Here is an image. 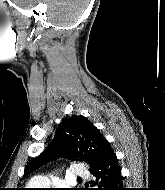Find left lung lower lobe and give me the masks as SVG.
<instances>
[{"mask_svg":"<svg viewBox=\"0 0 165 190\" xmlns=\"http://www.w3.org/2000/svg\"><path fill=\"white\" fill-rule=\"evenodd\" d=\"M91 173L96 178L95 184H99L97 190H123L121 170L114 152L93 167Z\"/></svg>","mask_w":165,"mask_h":190,"instance_id":"0a47b994","label":"left lung lower lobe"}]
</instances>
